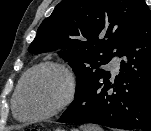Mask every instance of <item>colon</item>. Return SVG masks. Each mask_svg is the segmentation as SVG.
Returning <instances> with one entry per match:
<instances>
[{"label":"colon","instance_id":"5ec220e1","mask_svg":"<svg viewBox=\"0 0 151 131\" xmlns=\"http://www.w3.org/2000/svg\"><path fill=\"white\" fill-rule=\"evenodd\" d=\"M17 131H39L36 128H19Z\"/></svg>","mask_w":151,"mask_h":131}]
</instances>
